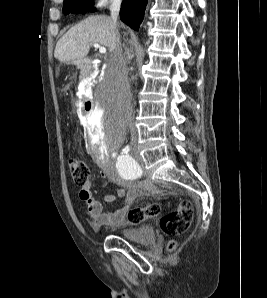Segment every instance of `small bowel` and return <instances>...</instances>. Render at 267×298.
Wrapping results in <instances>:
<instances>
[{
	"mask_svg": "<svg viewBox=\"0 0 267 298\" xmlns=\"http://www.w3.org/2000/svg\"><path fill=\"white\" fill-rule=\"evenodd\" d=\"M108 178L119 187L109 193L105 197V201L111 203L116 197L124 199L123 205L113 212H103V204L92 195L91 182H87L79 192V198L85 203L87 216L94 230H99L102 227L118 228L124 226L126 214L138 194V188L135 185L127 183L117 175L111 174ZM123 187H127V190H124Z\"/></svg>",
	"mask_w": 267,
	"mask_h": 298,
	"instance_id": "obj_1",
	"label": "small bowel"
}]
</instances>
